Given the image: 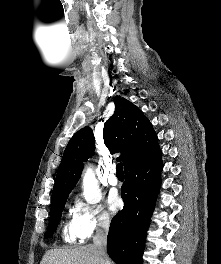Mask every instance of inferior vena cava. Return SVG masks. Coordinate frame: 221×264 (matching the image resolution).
Masks as SVG:
<instances>
[{
	"instance_id": "obj_1",
	"label": "inferior vena cava",
	"mask_w": 221,
	"mask_h": 264,
	"mask_svg": "<svg viewBox=\"0 0 221 264\" xmlns=\"http://www.w3.org/2000/svg\"><path fill=\"white\" fill-rule=\"evenodd\" d=\"M99 228L93 237V243L96 250L97 259L100 264H110L106 253L107 234L109 228V220H103L98 224Z\"/></svg>"
}]
</instances>
